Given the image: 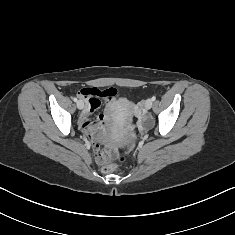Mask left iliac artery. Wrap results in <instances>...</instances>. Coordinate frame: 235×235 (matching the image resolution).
Returning <instances> with one entry per match:
<instances>
[{
  "label": "left iliac artery",
  "instance_id": "44dca946",
  "mask_svg": "<svg viewBox=\"0 0 235 235\" xmlns=\"http://www.w3.org/2000/svg\"><path fill=\"white\" fill-rule=\"evenodd\" d=\"M151 99H152V101H155V100H156V97H155V96H153Z\"/></svg>",
  "mask_w": 235,
  "mask_h": 235
}]
</instances>
